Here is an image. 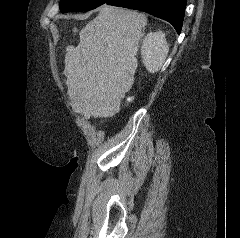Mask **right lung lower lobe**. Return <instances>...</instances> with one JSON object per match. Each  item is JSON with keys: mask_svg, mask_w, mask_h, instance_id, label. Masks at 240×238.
Wrapping results in <instances>:
<instances>
[{"mask_svg": "<svg viewBox=\"0 0 240 238\" xmlns=\"http://www.w3.org/2000/svg\"><path fill=\"white\" fill-rule=\"evenodd\" d=\"M187 0H113L109 5L144 11L168 21L180 33Z\"/></svg>", "mask_w": 240, "mask_h": 238, "instance_id": "1", "label": "right lung lower lobe"}]
</instances>
